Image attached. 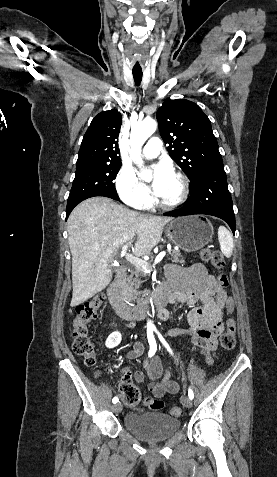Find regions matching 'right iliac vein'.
I'll return each instance as SVG.
<instances>
[{"instance_id":"63e3f726","label":"right iliac vein","mask_w":277,"mask_h":477,"mask_svg":"<svg viewBox=\"0 0 277 477\" xmlns=\"http://www.w3.org/2000/svg\"><path fill=\"white\" fill-rule=\"evenodd\" d=\"M121 410H122V405H121V403H117V404H115V405L113 406V411H114L115 413H120Z\"/></svg>"}]
</instances>
